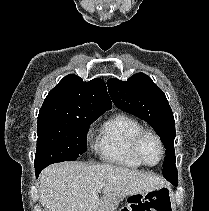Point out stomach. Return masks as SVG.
I'll return each mask as SVG.
<instances>
[{"label": "stomach", "mask_w": 209, "mask_h": 211, "mask_svg": "<svg viewBox=\"0 0 209 211\" xmlns=\"http://www.w3.org/2000/svg\"><path fill=\"white\" fill-rule=\"evenodd\" d=\"M137 195H142V194H133V195H130L129 198H133L134 196H137Z\"/></svg>", "instance_id": "0dacf381"}]
</instances>
